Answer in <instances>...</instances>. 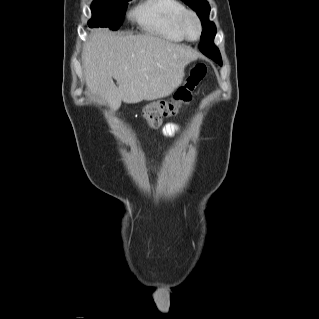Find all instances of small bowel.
Here are the masks:
<instances>
[{"label":"small bowel","instance_id":"c3829d8e","mask_svg":"<svg viewBox=\"0 0 319 319\" xmlns=\"http://www.w3.org/2000/svg\"><path fill=\"white\" fill-rule=\"evenodd\" d=\"M162 134L165 138L172 139L178 135V126L176 124H167L163 130Z\"/></svg>","mask_w":319,"mask_h":319}]
</instances>
